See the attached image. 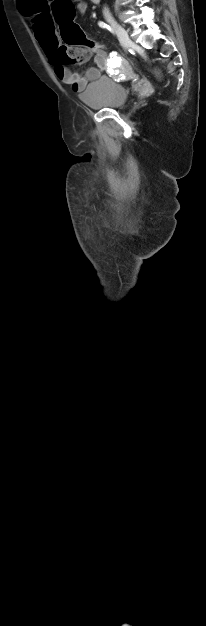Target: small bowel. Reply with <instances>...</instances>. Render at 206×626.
I'll return each mask as SVG.
<instances>
[{"label":"small bowel","mask_w":206,"mask_h":626,"mask_svg":"<svg viewBox=\"0 0 206 626\" xmlns=\"http://www.w3.org/2000/svg\"><path fill=\"white\" fill-rule=\"evenodd\" d=\"M87 8L88 5L85 1H78L77 11L79 14L84 15ZM32 21L35 38L46 56L49 58L50 62L54 65L56 77L62 83L70 85L75 92L83 91L90 81L99 77L101 70L110 69L112 63L118 65L111 69L117 68L121 72H125L127 70V62L121 59L116 53H111L109 56H105L101 51H99L95 56V63L97 67L88 69L84 74L80 72H72L58 59V51L61 46L55 35L53 23L49 15L42 10H36L35 12H32Z\"/></svg>","instance_id":"small-bowel-1"}]
</instances>
